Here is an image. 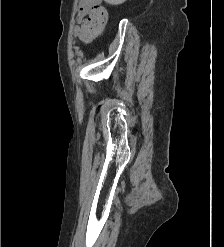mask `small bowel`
Segmentation results:
<instances>
[{"instance_id":"obj_1","label":"small bowel","mask_w":224,"mask_h":247,"mask_svg":"<svg viewBox=\"0 0 224 247\" xmlns=\"http://www.w3.org/2000/svg\"><path fill=\"white\" fill-rule=\"evenodd\" d=\"M101 0H79L78 2V13H77V29L76 32L81 35L82 24L85 20L84 17L89 15L91 9L98 6Z\"/></svg>"}]
</instances>
